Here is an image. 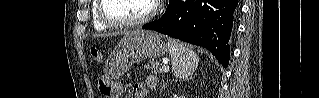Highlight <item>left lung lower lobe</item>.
<instances>
[{"instance_id":"left-lung-lower-lobe-1","label":"left lung lower lobe","mask_w":319,"mask_h":98,"mask_svg":"<svg viewBox=\"0 0 319 98\" xmlns=\"http://www.w3.org/2000/svg\"><path fill=\"white\" fill-rule=\"evenodd\" d=\"M238 0H169L164 15L143 29L207 48L226 68Z\"/></svg>"}]
</instances>
